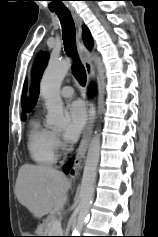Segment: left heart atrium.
<instances>
[{
	"label": "left heart atrium",
	"instance_id": "1",
	"mask_svg": "<svg viewBox=\"0 0 158 237\" xmlns=\"http://www.w3.org/2000/svg\"><path fill=\"white\" fill-rule=\"evenodd\" d=\"M68 124L64 132V138L68 143L75 142L87 122V114L85 107L81 101H73L66 108Z\"/></svg>",
	"mask_w": 158,
	"mask_h": 237
}]
</instances>
